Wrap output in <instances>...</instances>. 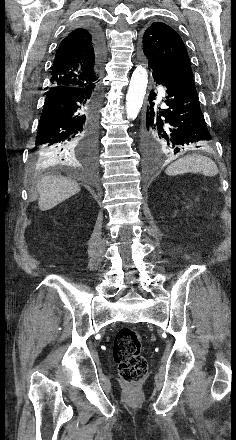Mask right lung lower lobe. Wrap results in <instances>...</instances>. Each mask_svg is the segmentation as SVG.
<instances>
[{
  "label": "right lung lower lobe",
  "instance_id": "obj_1",
  "mask_svg": "<svg viewBox=\"0 0 236 440\" xmlns=\"http://www.w3.org/2000/svg\"><path fill=\"white\" fill-rule=\"evenodd\" d=\"M101 71L106 46L100 28L88 24ZM101 96L100 79L85 87L50 89L38 126L34 153L45 161H63L81 164L87 169L94 166L98 141V106ZM78 144L74 154L71 146Z\"/></svg>",
  "mask_w": 236,
  "mask_h": 440
}]
</instances>
